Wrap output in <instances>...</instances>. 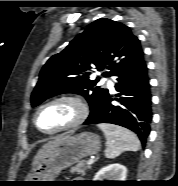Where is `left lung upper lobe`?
Wrapping results in <instances>:
<instances>
[{"label":"left lung upper lobe","mask_w":178,"mask_h":186,"mask_svg":"<svg viewBox=\"0 0 178 186\" xmlns=\"http://www.w3.org/2000/svg\"><path fill=\"white\" fill-rule=\"evenodd\" d=\"M141 59L140 41L127 26L98 19L46 62L32 92L31 104L35 107L58 94L75 93L84 96L93 111L108 91L97 86L100 77L89 78L93 69H108L105 77H117Z\"/></svg>","instance_id":"1"}]
</instances>
